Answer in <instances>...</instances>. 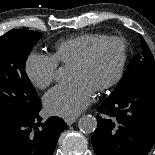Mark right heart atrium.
Segmentation results:
<instances>
[{
    "label": "right heart atrium",
    "mask_w": 155,
    "mask_h": 155,
    "mask_svg": "<svg viewBox=\"0 0 155 155\" xmlns=\"http://www.w3.org/2000/svg\"><path fill=\"white\" fill-rule=\"evenodd\" d=\"M58 62L51 55L32 52L25 62L28 80L39 89L48 87L56 78Z\"/></svg>",
    "instance_id": "right-heart-atrium-1"
}]
</instances>
